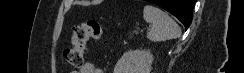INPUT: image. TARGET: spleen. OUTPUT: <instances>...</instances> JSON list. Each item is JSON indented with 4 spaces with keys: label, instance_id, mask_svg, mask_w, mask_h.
<instances>
[{
    "label": "spleen",
    "instance_id": "3e777b00",
    "mask_svg": "<svg viewBox=\"0 0 244 73\" xmlns=\"http://www.w3.org/2000/svg\"><path fill=\"white\" fill-rule=\"evenodd\" d=\"M143 18L151 24L147 38L153 42L176 39L181 35L179 25L164 11L152 5L143 9Z\"/></svg>",
    "mask_w": 244,
    "mask_h": 73
}]
</instances>
